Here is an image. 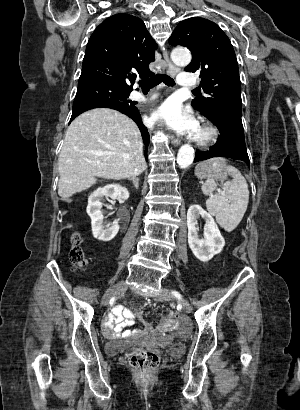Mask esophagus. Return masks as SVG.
<instances>
[{
  "instance_id": "1",
  "label": "esophagus",
  "mask_w": 300,
  "mask_h": 410,
  "mask_svg": "<svg viewBox=\"0 0 300 410\" xmlns=\"http://www.w3.org/2000/svg\"><path fill=\"white\" fill-rule=\"evenodd\" d=\"M163 58L166 63L167 72L170 75L175 76L179 72V68H177L175 65L172 64V62L169 59L167 50L163 51ZM170 140H171V143L175 146H178L181 143L180 139L176 138L174 135H170Z\"/></svg>"
}]
</instances>
